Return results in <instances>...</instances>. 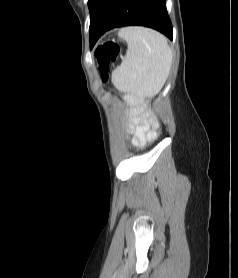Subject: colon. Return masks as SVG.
Wrapping results in <instances>:
<instances>
[{
  "label": "colon",
  "instance_id": "5ec220e1",
  "mask_svg": "<svg viewBox=\"0 0 238 278\" xmlns=\"http://www.w3.org/2000/svg\"><path fill=\"white\" fill-rule=\"evenodd\" d=\"M119 53L120 47L115 42H107L96 50L95 56L104 77L106 76L110 63L119 55Z\"/></svg>",
  "mask_w": 238,
  "mask_h": 278
}]
</instances>
